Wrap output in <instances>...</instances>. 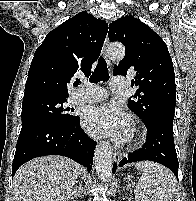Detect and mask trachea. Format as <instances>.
<instances>
[{
    "label": "trachea",
    "instance_id": "obj_1",
    "mask_svg": "<svg viewBox=\"0 0 196 201\" xmlns=\"http://www.w3.org/2000/svg\"><path fill=\"white\" fill-rule=\"evenodd\" d=\"M109 79V73H108V68L106 61L101 57L98 60V65L96 66L94 72L92 73L89 81L91 83H97L99 81H106ZM80 82H77V85Z\"/></svg>",
    "mask_w": 196,
    "mask_h": 201
}]
</instances>
